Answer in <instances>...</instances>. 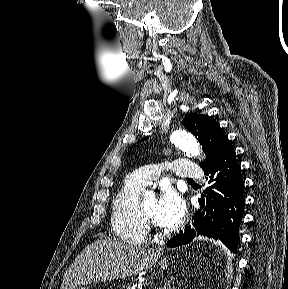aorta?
I'll return each mask as SVG.
<instances>
[{
  "instance_id": "1",
  "label": "aorta",
  "mask_w": 288,
  "mask_h": 289,
  "mask_svg": "<svg viewBox=\"0 0 288 289\" xmlns=\"http://www.w3.org/2000/svg\"><path fill=\"white\" fill-rule=\"evenodd\" d=\"M170 141L188 156L200 155V148L196 139L182 129L174 131Z\"/></svg>"
}]
</instances>
